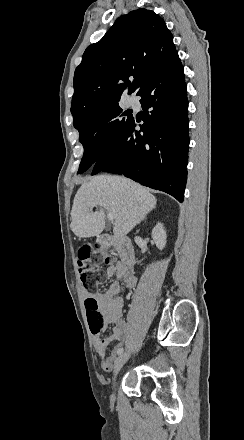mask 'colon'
Returning <instances> with one entry per match:
<instances>
[{"label": "colon", "mask_w": 244, "mask_h": 440, "mask_svg": "<svg viewBox=\"0 0 244 440\" xmlns=\"http://www.w3.org/2000/svg\"><path fill=\"white\" fill-rule=\"evenodd\" d=\"M113 251L110 248H106L103 252L99 246L86 245L80 248L75 253V262H78L79 271L82 274L81 280L85 287L86 294H95L96 288L104 283V273L102 271V265L106 257H110ZM106 257H105V256ZM88 262H91L94 270L87 271L89 268ZM86 319H102V310H97L95 298H86L85 300Z\"/></svg>", "instance_id": "5ec220e1"}]
</instances>
